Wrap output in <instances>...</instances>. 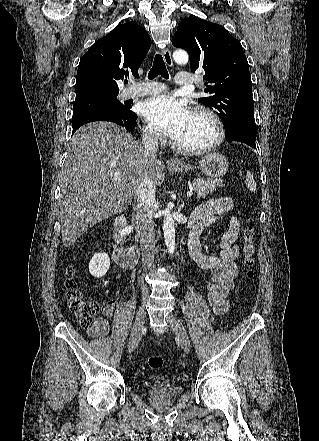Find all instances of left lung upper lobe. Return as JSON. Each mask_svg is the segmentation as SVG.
I'll use <instances>...</instances> for the list:
<instances>
[{
  "label": "left lung upper lobe",
  "mask_w": 319,
  "mask_h": 441,
  "mask_svg": "<svg viewBox=\"0 0 319 441\" xmlns=\"http://www.w3.org/2000/svg\"><path fill=\"white\" fill-rule=\"evenodd\" d=\"M175 47L189 53L191 70L203 68L204 92L199 102L216 111L225 133L238 128L257 131L252 82L241 43L221 25L190 16L178 24Z\"/></svg>",
  "instance_id": "left-lung-upper-lobe-1"
}]
</instances>
